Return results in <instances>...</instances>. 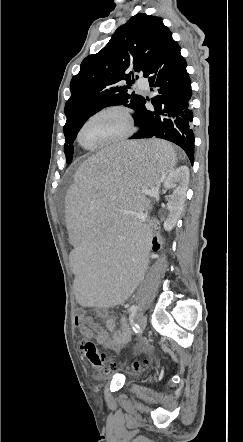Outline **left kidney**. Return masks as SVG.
Here are the masks:
<instances>
[{
  "label": "left kidney",
  "instance_id": "obj_1",
  "mask_svg": "<svg viewBox=\"0 0 243 442\" xmlns=\"http://www.w3.org/2000/svg\"><path fill=\"white\" fill-rule=\"evenodd\" d=\"M178 183V186L169 196L167 203L168 215L164 220L165 231H171L176 225L183 209L185 201V193L189 183V169L186 166H181L172 171L164 181V186L170 188Z\"/></svg>",
  "mask_w": 243,
  "mask_h": 442
}]
</instances>
